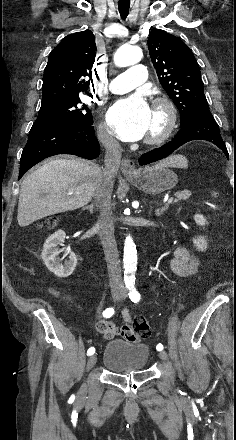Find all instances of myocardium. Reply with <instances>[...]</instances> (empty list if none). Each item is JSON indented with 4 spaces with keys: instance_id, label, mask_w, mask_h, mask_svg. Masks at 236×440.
<instances>
[{
    "instance_id": "f54148a6",
    "label": "myocardium",
    "mask_w": 236,
    "mask_h": 440,
    "mask_svg": "<svg viewBox=\"0 0 236 440\" xmlns=\"http://www.w3.org/2000/svg\"><path fill=\"white\" fill-rule=\"evenodd\" d=\"M153 111L161 115L162 122L158 130L146 136L145 142L150 145L163 143L170 138L177 124L176 107L169 98H155L153 100Z\"/></svg>"
}]
</instances>
